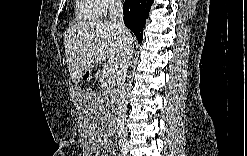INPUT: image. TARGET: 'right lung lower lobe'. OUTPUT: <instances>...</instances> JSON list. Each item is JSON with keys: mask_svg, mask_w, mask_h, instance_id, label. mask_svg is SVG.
<instances>
[{"mask_svg": "<svg viewBox=\"0 0 247 156\" xmlns=\"http://www.w3.org/2000/svg\"><path fill=\"white\" fill-rule=\"evenodd\" d=\"M153 0H125L123 4L124 23L142 42L143 27L149 15Z\"/></svg>", "mask_w": 247, "mask_h": 156, "instance_id": "right-lung-lower-lobe-1", "label": "right lung lower lobe"}]
</instances>
